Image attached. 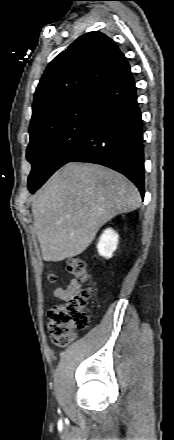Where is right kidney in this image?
Wrapping results in <instances>:
<instances>
[{"mask_svg":"<svg viewBox=\"0 0 174 440\" xmlns=\"http://www.w3.org/2000/svg\"><path fill=\"white\" fill-rule=\"evenodd\" d=\"M118 240L119 235L113 229H106L97 244L98 253L105 258H111L117 249Z\"/></svg>","mask_w":174,"mask_h":440,"instance_id":"1","label":"right kidney"}]
</instances>
